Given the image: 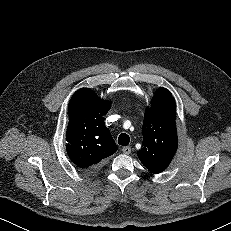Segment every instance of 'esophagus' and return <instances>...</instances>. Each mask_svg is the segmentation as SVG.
<instances>
[{"mask_svg":"<svg viewBox=\"0 0 231 231\" xmlns=\"http://www.w3.org/2000/svg\"><path fill=\"white\" fill-rule=\"evenodd\" d=\"M122 152L126 155L130 154L131 153V147H129V146L123 147Z\"/></svg>","mask_w":231,"mask_h":231,"instance_id":"obj_1","label":"esophagus"}]
</instances>
